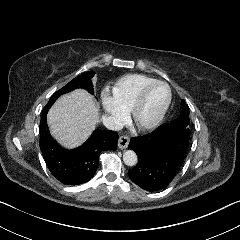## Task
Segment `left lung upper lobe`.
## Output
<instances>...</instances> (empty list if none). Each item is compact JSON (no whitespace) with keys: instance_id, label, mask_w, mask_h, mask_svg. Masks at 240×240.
Returning <instances> with one entry per match:
<instances>
[{"instance_id":"1","label":"left lung upper lobe","mask_w":240,"mask_h":240,"mask_svg":"<svg viewBox=\"0 0 240 240\" xmlns=\"http://www.w3.org/2000/svg\"><path fill=\"white\" fill-rule=\"evenodd\" d=\"M181 105H182V110L180 112V115L177 119L173 120V122L189 128L190 119H189L188 106L185 104L184 100L181 101Z\"/></svg>"}]
</instances>
